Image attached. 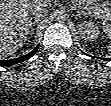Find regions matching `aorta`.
I'll return each mask as SVG.
<instances>
[{
	"label": "aorta",
	"mask_w": 111,
	"mask_h": 106,
	"mask_svg": "<svg viewBox=\"0 0 111 106\" xmlns=\"http://www.w3.org/2000/svg\"><path fill=\"white\" fill-rule=\"evenodd\" d=\"M58 19L59 20H65L66 19V12L65 11H59L58 12Z\"/></svg>",
	"instance_id": "aorta-1"
}]
</instances>
